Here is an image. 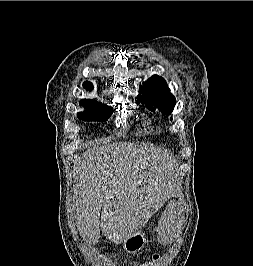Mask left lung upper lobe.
<instances>
[{
  "mask_svg": "<svg viewBox=\"0 0 253 266\" xmlns=\"http://www.w3.org/2000/svg\"><path fill=\"white\" fill-rule=\"evenodd\" d=\"M136 98L137 104H146L148 109H158L166 115L171 114L176 104V99L170 93L166 81L158 75H153L143 82V86L139 88V95Z\"/></svg>",
  "mask_w": 253,
  "mask_h": 266,
  "instance_id": "obj_1",
  "label": "left lung upper lobe"
}]
</instances>
